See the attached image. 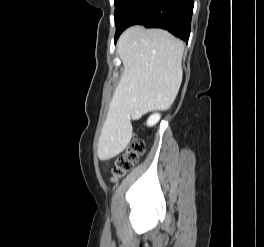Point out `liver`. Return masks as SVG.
Masks as SVG:
<instances>
[{"label": "liver", "mask_w": 264, "mask_h": 247, "mask_svg": "<svg viewBox=\"0 0 264 247\" xmlns=\"http://www.w3.org/2000/svg\"><path fill=\"white\" fill-rule=\"evenodd\" d=\"M124 72L114 91L98 142V157L120 154L132 137L131 119L154 110L168 109L181 82L184 44L167 31L133 26L117 46Z\"/></svg>", "instance_id": "6515ba94"}]
</instances>
